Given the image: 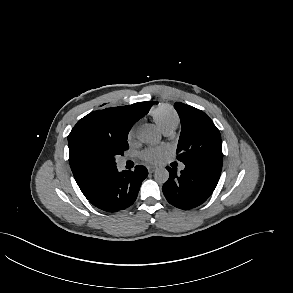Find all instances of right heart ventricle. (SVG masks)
Here are the masks:
<instances>
[{"label":"right heart ventricle","mask_w":293,"mask_h":293,"mask_svg":"<svg viewBox=\"0 0 293 293\" xmlns=\"http://www.w3.org/2000/svg\"><path fill=\"white\" fill-rule=\"evenodd\" d=\"M152 119L162 132H173L179 125L177 112L168 104H160L150 112Z\"/></svg>","instance_id":"1"}]
</instances>
